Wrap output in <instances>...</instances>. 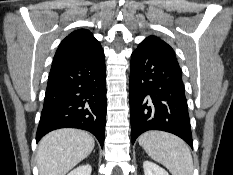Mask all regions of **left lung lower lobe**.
I'll list each match as a JSON object with an SVG mask.
<instances>
[{
    "mask_svg": "<svg viewBox=\"0 0 233 175\" xmlns=\"http://www.w3.org/2000/svg\"><path fill=\"white\" fill-rule=\"evenodd\" d=\"M132 143L148 130L173 133L192 147V134L178 63L140 44L130 62Z\"/></svg>",
    "mask_w": 233,
    "mask_h": 175,
    "instance_id": "obj_1",
    "label": "left lung lower lobe"
}]
</instances>
